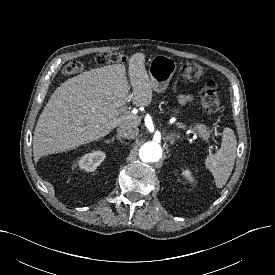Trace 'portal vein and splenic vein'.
<instances>
[{"mask_svg": "<svg viewBox=\"0 0 275 275\" xmlns=\"http://www.w3.org/2000/svg\"><path fill=\"white\" fill-rule=\"evenodd\" d=\"M128 101H130V100H128ZM127 108H128L127 106H124L123 110L125 111ZM189 132H191V130H189Z\"/></svg>", "mask_w": 275, "mask_h": 275, "instance_id": "1", "label": "portal vein and splenic vein"}]
</instances>
